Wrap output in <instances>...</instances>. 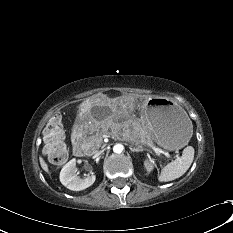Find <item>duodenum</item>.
I'll list each match as a JSON object with an SVG mask.
<instances>
[{"mask_svg":"<svg viewBox=\"0 0 233 233\" xmlns=\"http://www.w3.org/2000/svg\"><path fill=\"white\" fill-rule=\"evenodd\" d=\"M79 128L73 133V151L76 155H81L83 153V145L78 139Z\"/></svg>","mask_w":233,"mask_h":233,"instance_id":"duodenum-1","label":"duodenum"}]
</instances>
